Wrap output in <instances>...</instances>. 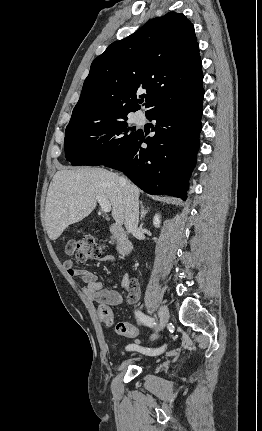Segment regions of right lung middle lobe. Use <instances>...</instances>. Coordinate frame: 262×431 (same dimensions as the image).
Returning a JSON list of instances; mask_svg holds the SVG:
<instances>
[{
	"instance_id": "right-lung-middle-lobe-1",
	"label": "right lung middle lobe",
	"mask_w": 262,
	"mask_h": 431,
	"mask_svg": "<svg viewBox=\"0 0 262 431\" xmlns=\"http://www.w3.org/2000/svg\"><path fill=\"white\" fill-rule=\"evenodd\" d=\"M126 120L127 115L68 125L64 140L67 161L73 166H97L115 159L139 133Z\"/></svg>"
}]
</instances>
